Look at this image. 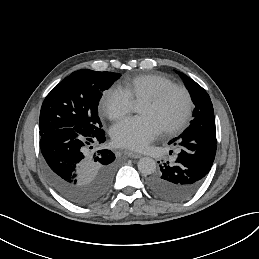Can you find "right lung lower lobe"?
<instances>
[{"label": "right lung lower lobe", "mask_w": 259, "mask_h": 259, "mask_svg": "<svg viewBox=\"0 0 259 259\" xmlns=\"http://www.w3.org/2000/svg\"><path fill=\"white\" fill-rule=\"evenodd\" d=\"M105 141V132L85 136L73 128L52 130L41 136L45 172L55 190L69 202L89 206L109 191L116 169L108 149L89 151Z\"/></svg>", "instance_id": "obj_1"}]
</instances>
